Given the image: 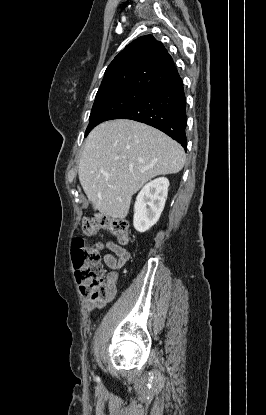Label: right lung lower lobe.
I'll return each mask as SVG.
<instances>
[{
  "instance_id": "1",
  "label": "right lung lower lobe",
  "mask_w": 266,
  "mask_h": 415,
  "mask_svg": "<svg viewBox=\"0 0 266 415\" xmlns=\"http://www.w3.org/2000/svg\"><path fill=\"white\" fill-rule=\"evenodd\" d=\"M112 119H131L153 126L187 150L186 98L180 77L157 86L143 99L115 113L109 120Z\"/></svg>"
}]
</instances>
